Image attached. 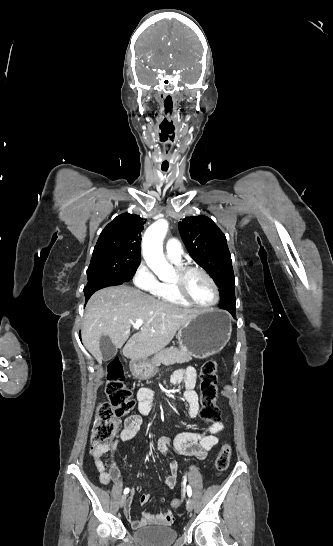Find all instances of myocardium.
Masks as SVG:
<instances>
[{
    "instance_id": "myocardium-1",
    "label": "myocardium",
    "mask_w": 333,
    "mask_h": 546,
    "mask_svg": "<svg viewBox=\"0 0 333 546\" xmlns=\"http://www.w3.org/2000/svg\"><path fill=\"white\" fill-rule=\"evenodd\" d=\"M193 271L201 273L209 281V283L211 284V286H212V288L214 290V293H215V299L213 300V302H211L209 304H200V303H197L196 301H194L189 296V294L187 292V289H186L185 280H186L187 275L190 272H193ZM173 286L175 288V291H176L177 295L183 301H185L186 303H188L189 305L194 306V307L203 308V309L212 308V307L216 306L218 304L219 300H220V291H219V288H218L215 280L213 279V277L205 269H203L202 267H199V266L186 265V266H181V267L177 268L176 275H175V278L173 280Z\"/></svg>"
}]
</instances>
